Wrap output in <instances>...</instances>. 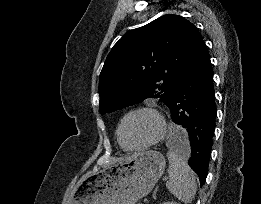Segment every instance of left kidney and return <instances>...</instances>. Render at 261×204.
<instances>
[{
  "label": "left kidney",
  "mask_w": 261,
  "mask_h": 204,
  "mask_svg": "<svg viewBox=\"0 0 261 204\" xmlns=\"http://www.w3.org/2000/svg\"><path fill=\"white\" fill-rule=\"evenodd\" d=\"M161 204H180V203L171 201V202H163V203H161Z\"/></svg>",
  "instance_id": "5707ae66"
}]
</instances>
